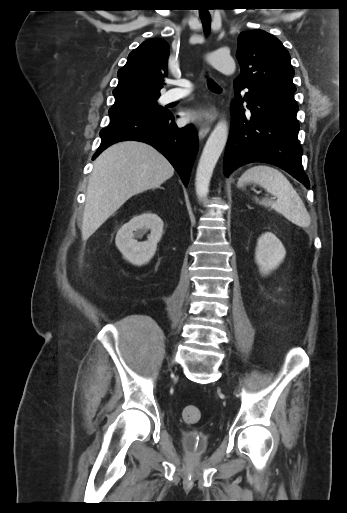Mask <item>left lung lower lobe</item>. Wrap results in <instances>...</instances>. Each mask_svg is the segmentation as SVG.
I'll return each mask as SVG.
<instances>
[{
	"label": "left lung lower lobe",
	"mask_w": 347,
	"mask_h": 513,
	"mask_svg": "<svg viewBox=\"0 0 347 513\" xmlns=\"http://www.w3.org/2000/svg\"><path fill=\"white\" fill-rule=\"evenodd\" d=\"M235 98L231 102V129L227 142L224 172L228 176L236 168L250 162L276 165L309 189L304 173L302 148L298 141V105L294 91L271 88H251L234 84ZM248 92L244 96L240 91ZM243 102L250 113L245 114Z\"/></svg>",
	"instance_id": "1"
}]
</instances>
